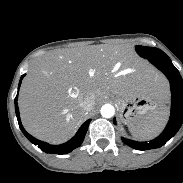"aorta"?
<instances>
[{
	"mask_svg": "<svg viewBox=\"0 0 183 183\" xmlns=\"http://www.w3.org/2000/svg\"><path fill=\"white\" fill-rule=\"evenodd\" d=\"M100 112L104 118H111L114 116L115 109L111 104H105L101 107Z\"/></svg>",
	"mask_w": 183,
	"mask_h": 183,
	"instance_id": "1",
	"label": "aorta"
}]
</instances>
